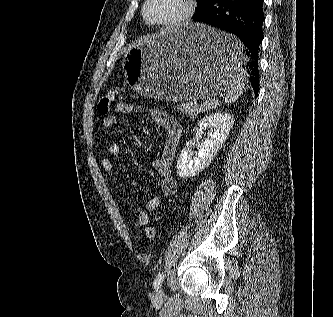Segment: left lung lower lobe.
I'll use <instances>...</instances> for the list:
<instances>
[{
    "label": "left lung lower lobe",
    "instance_id": "obj_1",
    "mask_svg": "<svg viewBox=\"0 0 333 317\" xmlns=\"http://www.w3.org/2000/svg\"><path fill=\"white\" fill-rule=\"evenodd\" d=\"M264 20L263 0H211L193 21L202 23L230 34L236 35L247 48L246 55L249 81L255 96L259 89L258 50L262 41ZM219 54L232 59L233 50L224 44L216 50Z\"/></svg>",
    "mask_w": 333,
    "mask_h": 317
}]
</instances>
